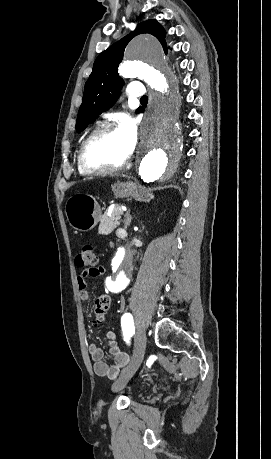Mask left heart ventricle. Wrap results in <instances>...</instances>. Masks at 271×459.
<instances>
[{"mask_svg":"<svg viewBox=\"0 0 271 459\" xmlns=\"http://www.w3.org/2000/svg\"><path fill=\"white\" fill-rule=\"evenodd\" d=\"M124 136L117 130L114 133L99 137L89 147V158L94 162L118 161L130 153Z\"/></svg>","mask_w":271,"mask_h":459,"instance_id":"obj_1","label":"left heart ventricle"}]
</instances>
